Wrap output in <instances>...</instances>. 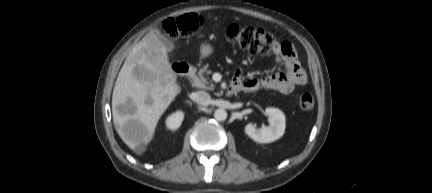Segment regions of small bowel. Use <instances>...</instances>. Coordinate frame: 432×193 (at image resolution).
Returning a JSON list of instances; mask_svg holds the SVG:
<instances>
[{"label": "small bowel", "instance_id": "small-bowel-1", "mask_svg": "<svg viewBox=\"0 0 432 193\" xmlns=\"http://www.w3.org/2000/svg\"><path fill=\"white\" fill-rule=\"evenodd\" d=\"M284 48H287L285 50ZM275 61L284 66L285 71L262 78L242 80L241 71L237 70L235 82L240 90L256 91L259 89L275 90L283 94L292 93L297 86L308 81L306 71L301 67L292 45L288 42H277L274 49Z\"/></svg>", "mask_w": 432, "mask_h": 193}]
</instances>
